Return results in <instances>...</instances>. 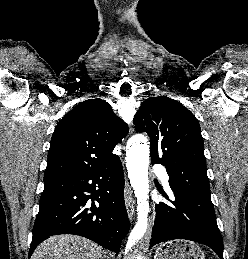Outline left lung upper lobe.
Returning <instances> with one entry per match:
<instances>
[{
    "label": "left lung upper lobe",
    "instance_id": "left-lung-upper-lobe-1",
    "mask_svg": "<svg viewBox=\"0 0 248 259\" xmlns=\"http://www.w3.org/2000/svg\"><path fill=\"white\" fill-rule=\"evenodd\" d=\"M133 123L137 131L148 133L151 162L166 166L171 188L210 197L201 129L186 107L166 96L151 97Z\"/></svg>",
    "mask_w": 248,
    "mask_h": 259
}]
</instances>
